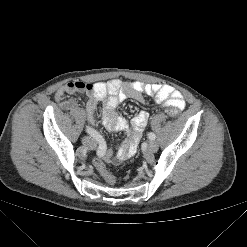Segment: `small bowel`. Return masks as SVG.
I'll return each instance as SVG.
<instances>
[{
  "label": "small bowel",
  "mask_w": 247,
  "mask_h": 247,
  "mask_svg": "<svg viewBox=\"0 0 247 247\" xmlns=\"http://www.w3.org/2000/svg\"><path fill=\"white\" fill-rule=\"evenodd\" d=\"M84 93L88 96L86 115L91 125L97 123L95 111L101 106L102 112L99 122L110 132H129V138L120 147L115 158L111 157L108 150L102 156L104 163L119 164L131 157L135 151L140 137L145 129L148 114L139 112L131 121L129 129L127 121L118 115L116 107L127 99L137 102H144V94L154 97L155 101L162 107L185 108V100L182 94L169 85L147 84L142 82H123L119 79H112L107 82L94 84L82 81L68 82L61 86L55 93V100L63 110L80 113V108L74 99H66L68 94L74 95Z\"/></svg>",
  "instance_id": "c3829d8e"
}]
</instances>
